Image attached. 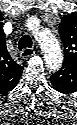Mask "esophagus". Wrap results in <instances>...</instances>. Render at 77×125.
I'll return each mask as SVG.
<instances>
[{"mask_svg": "<svg viewBox=\"0 0 77 125\" xmlns=\"http://www.w3.org/2000/svg\"><path fill=\"white\" fill-rule=\"evenodd\" d=\"M35 54V51L34 49L32 48H24L21 53H20V56L23 58V59H26V58H29L31 56H33Z\"/></svg>", "mask_w": 77, "mask_h": 125, "instance_id": "34e87169", "label": "esophagus"}]
</instances>
